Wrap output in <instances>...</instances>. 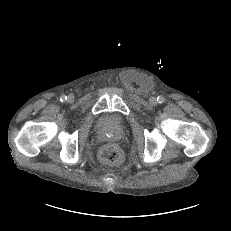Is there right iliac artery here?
<instances>
[{
    "label": "right iliac artery",
    "mask_w": 231,
    "mask_h": 231,
    "mask_svg": "<svg viewBox=\"0 0 231 231\" xmlns=\"http://www.w3.org/2000/svg\"><path fill=\"white\" fill-rule=\"evenodd\" d=\"M66 100H67V96L62 95V96L60 97V101H61V102H64V101H66Z\"/></svg>",
    "instance_id": "right-iliac-artery-1"
}]
</instances>
